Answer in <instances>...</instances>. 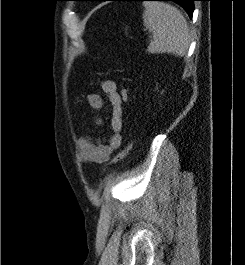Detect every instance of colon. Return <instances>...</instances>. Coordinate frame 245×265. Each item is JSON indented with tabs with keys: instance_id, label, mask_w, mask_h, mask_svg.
Instances as JSON below:
<instances>
[{
	"instance_id": "colon-1",
	"label": "colon",
	"mask_w": 245,
	"mask_h": 265,
	"mask_svg": "<svg viewBox=\"0 0 245 265\" xmlns=\"http://www.w3.org/2000/svg\"><path fill=\"white\" fill-rule=\"evenodd\" d=\"M120 95H121V98H122V101L123 102H127L129 100V92L127 89H122L120 91ZM132 148V144L129 142L117 155L116 157L112 160V164H115V163H118L122 160H124L128 155H129V152Z\"/></svg>"
}]
</instances>
